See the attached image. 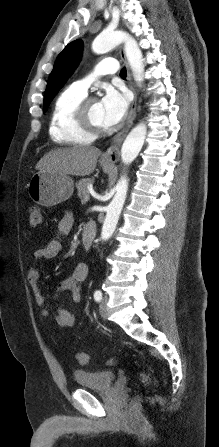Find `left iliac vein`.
<instances>
[{"label":"left iliac vein","mask_w":219,"mask_h":447,"mask_svg":"<svg viewBox=\"0 0 219 447\" xmlns=\"http://www.w3.org/2000/svg\"><path fill=\"white\" fill-rule=\"evenodd\" d=\"M107 298H103L100 302V306H99V311H100V315L103 319L107 318Z\"/></svg>","instance_id":"4c4485c4"}]
</instances>
